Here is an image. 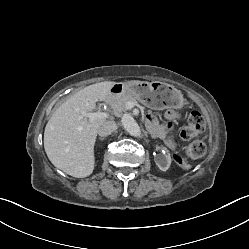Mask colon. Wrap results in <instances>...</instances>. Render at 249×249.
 I'll return each mask as SVG.
<instances>
[{"mask_svg": "<svg viewBox=\"0 0 249 249\" xmlns=\"http://www.w3.org/2000/svg\"><path fill=\"white\" fill-rule=\"evenodd\" d=\"M205 119L201 113L197 111L191 112L188 118V124L181 131V137L185 141L193 139L198 133L205 128ZM205 144L200 140L191 142L185 150V157L180 154H175L174 159L177 163L185 165L186 159L195 160L202 157L205 153Z\"/></svg>", "mask_w": 249, "mask_h": 249, "instance_id": "1", "label": "colon"}]
</instances>
